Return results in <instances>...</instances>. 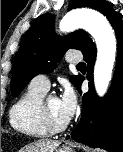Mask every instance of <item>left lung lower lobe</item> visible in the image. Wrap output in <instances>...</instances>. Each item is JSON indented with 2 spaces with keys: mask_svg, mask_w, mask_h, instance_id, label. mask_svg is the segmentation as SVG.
Instances as JSON below:
<instances>
[{
  "mask_svg": "<svg viewBox=\"0 0 123 152\" xmlns=\"http://www.w3.org/2000/svg\"><path fill=\"white\" fill-rule=\"evenodd\" d=\"M113 26L118 40V57L116 70L110 92L100 99L94 90L93 68L96 58V47L90 43L82 51L88 63L87 79L89 91L82 97V116L71 133V138L91 147L103 148L109 152H123V23L122 15L112 12L107 16ZM84 77L80 76L76 87ZM69 138V137H68Z\"/></svg>",
  "mask_w": 123,
  "mask_h": 152,
  "instance_id": "0a47b994",
  "label": "left lung lower lobe"
}]
</instances>
